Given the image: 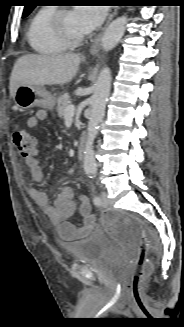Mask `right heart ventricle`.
Segmentation results:
<instances>
[{
	"instance_id": "e07e8e85",
	"label": "right heart ventricle",
	"mask_w": 184,
	"mask_h": 327,
	"mask_svg": "<svg viewBox=\"0 0 184 327\" xmlns=\"http://www.w3.org/2000/svg\"><path fill=\"white\" fill-rule=\"evenodd\" d=\"M55 11L54 7H43L30 20L27 39L31 48L40 54H60L69 48L51 28L50 21Z\"/></svg>"
}]
</instances>
